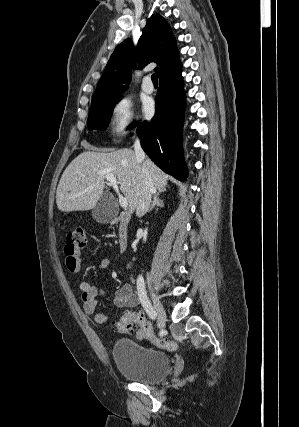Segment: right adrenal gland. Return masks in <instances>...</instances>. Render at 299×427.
Returning a JSON list of instances; mask_svg holds the SVG:
<instances>
[{
  "label": "right adrenal gland",
  "mask_w": 299,
  "mask_h": 427,
  "mask_svg": "<svg viewBox=\"0 0 299 427\" xmlns=\"http://www.w3.org/2000/svg\"><path fill=\"white\" fill-rule=\"evenodd\" d=\"M160 193H161V191H158V192L155 194L154 199H153V202H152V204H151L150 208L148 209V212H151V211L154 209V207H155V206H159V207H163V206H164L163 200H161V199L159 198Z\"/></svg>",
  "instance_id": "obj_1"
}]
</instances>
